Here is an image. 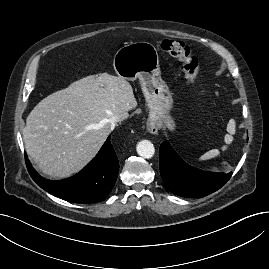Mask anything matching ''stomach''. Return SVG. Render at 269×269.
Here are the masks:
<instances>
[{
	"mask_svg": "<svg viewBox=\"0 0 269 269\" xmlns=\"http://www.w3.org/2000/svg\"><path fill=\"white\" fill-rule=\"evenodd\" d=\"M116 73L126 80L139 79L149 107L151 120L169 130L175 129V121L170 115L173 98L166 83L161 78L159 56L155 46L149 42H133L121 47L113 59Z\"/></svg>",
	"mask_w": 269,
	"mask_h": 269,
	"instance_id": "obj_1",
	"label": "stomach"
}]
</instances>
